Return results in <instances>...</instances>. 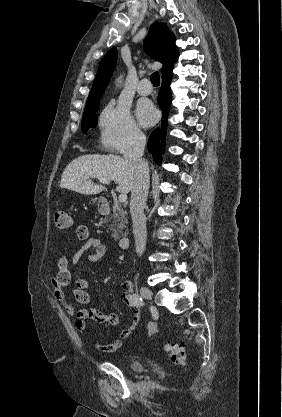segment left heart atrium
Listing matches in <instances>:
<instances>
[{
	"label": "left heart atrium",
	"instance_id": "1",
	"mask_svg": "<svg viewBox=\"0 0 282 417\" xmlns=\"http://www.w3.org/2000/svg\"><path fill=\"white\" fill-rule=\"evenodd\" d=\"M137 116L141 123L150 124L156 118L155 110L146 104H140L137 109Z\"/></svg>",
	"mask_w": 282,
	"mask_h": 417
}]
</instances>
